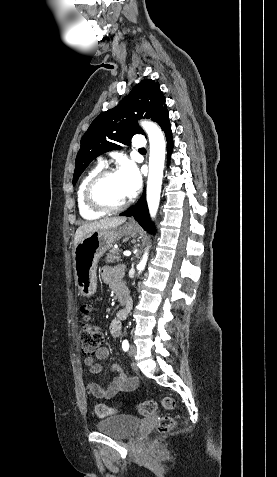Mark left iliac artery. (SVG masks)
Listing matches in <instances>:
<instances>
[{"label": "left iliac artery", "mask_w": 277, "mask_h": 477, "mask_svg": "<svg viewBox=\"0 0 277 477\" xmlns=\"http://www.w3.org/2000/svg\"><path fill=\"white\" fill-rule=\"evenodd\" d=\"M122 348H123L124 351H127L129 349V343H128L127 340H124L122 342Z\"/></svg>", "instance_id": "1"}]
</instances>
